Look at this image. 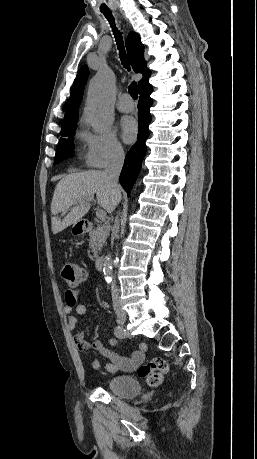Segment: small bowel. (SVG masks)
<instances>
[{
    "label": "small bowel",
    "mask_w": 257,
    "mask_h": 459,
    "mask_svg": "<svg viewBox=\"0 0 257 459\" xmlns=\"http://www.w3.org/2000/svg\"><path fill=\"white\" fill-rule=\"evenodd\" d=\"M79 297L80 290L76 287L69 288L65 293V312L68 314V327L71 331H74V343L77 349L84 352L92 347L94 350L101 353L108 360L105 365L106 373H116L118 371H134L144 360L146 345L142 344L138 350L131 354V356L125 357L107 349L104 346V343L99 339L94 340L92 344H90L88 341H86L83 331L79 329V321L76 315L82 316L87 312L86 305L83 303H78ZM73 309H75L76 315L71 314ZM110 344L115 346L117 342L115 340H111ZM90 366L94 370L99 369V360H91Z\"/></svg>",
    "instance_id": "obj_1"
}]
</instances>
